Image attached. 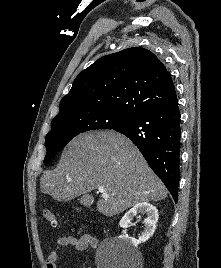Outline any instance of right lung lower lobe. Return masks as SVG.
Here are the masks:
<instances>
[{
    "mask_svg": "<svg viewBox=\"0 0 221 268\" xmlns=\"http://www.w3.org/2000/svg\"><path fill=\"white\" fill-rule=\"evenodd\" d=\"M180 111L178 102L140 113L113 130L128 137L177 203L180 179Z\"/></svg>",
    "mask_w": 221,
    "mask_h": 268,
    "instance_id": "obj_1",
    "label": "right lung lower lobe"
}]
</instances>
